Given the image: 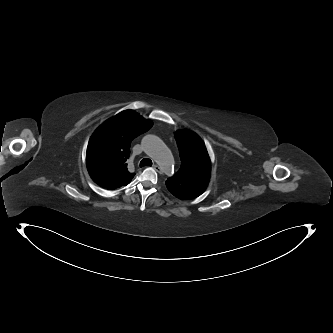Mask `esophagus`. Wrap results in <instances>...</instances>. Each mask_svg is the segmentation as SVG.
I'll return each instance as SVG.
<instances>
[{
  "label": "esophagus",
  "instance_id": "34e87169",
  "mask_svg": "<svg viewBox=\"0 0 333 333\" xmlns=\"http://www.w3.org/2000/svg\"><path fill=\"white\" fill-rule=\"evenodd\" d=\"M153 168L158 172L161 173V168L158 165H154Z\"/></svg>",
  "mask_w": 333,
  "mask_h": 333
}]
</instances>
